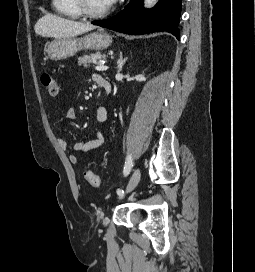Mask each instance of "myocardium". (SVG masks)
Returning <instances> with one entry per match:
<instances>
[{"label": "myocardium", "instance_id": "f54148a6", "mask_svg": "<svg viewBox=\"0 0 255 272\" xmlns=\"http://www.w3.org/2000/svg\"><path fill=\"white\" fill-rule=\"evenodd\" d=\"M80 13L89 18H103L110 14L111 7L102 12H94L88 7L87 0H75Z\"/></svg>", "mask_w": 255, "mask_h": 272}]
</instances>
